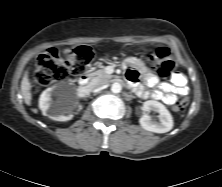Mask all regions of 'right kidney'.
<instances>
[{"label":"right kidney","instance_id":"obj_1","mask_svg":"<svg viewBox=\"0 0 222 187\" xmlns=\"http://www.w3.org/2000/svg\"><path fill=\"white\" fill-rule=\"evenodd\" d=\"M56 87H51L43 91L39 98V107L44 115H48L49 118L54 121H67L72 119L73 115H64L65 103L62 99L53 102L52 97L56 94Z\"/></svg>","mask_w":222,"mask_h":187}]
</instances>
